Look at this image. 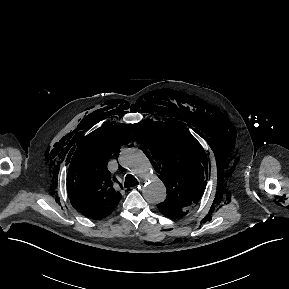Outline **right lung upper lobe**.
Here are the masks:
<instances>
[{
  "label": "right lung upper lobe",
  "instance_id": "obj_1",
  "mask_svg": "<svg viewBox=\"0 0 289 289\" xmlns=\"http://www.w3.org/2000/svg\"><path fill=\"white\" fill-rule=\"evenodd\" d=\"M128 124L102 127L78 146L68 169V195L72 206L91 219L107 217L121 199L114 190L107 160L131 135Z\"/></svg>",
  "mask_w": 289,
  "mask_h": 289
}]
</instances>
